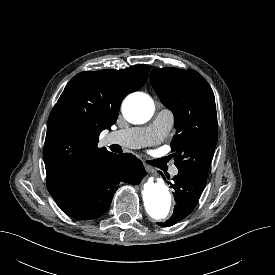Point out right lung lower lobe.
I'll return each mask as SVG.
<instances>
[{"label":"right lung lower lobe","instance_id":"right-lung-lower-lobe-1","mask_svg":"<svg viewBox=\"0 0 275 275\" xmlns=\"http://www.w3.org/2000/svg\"><path fill=\"white\" fill-rule=\"evenodd\" d=\"M144 175L143 164L134 155L108 153L79 171L53 198L68 216L94 219L106 213L121 181L137 185Z\"/></svg>","mask_w":275,"mask_h":275}]
</instances>
